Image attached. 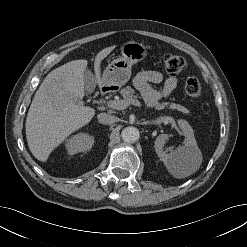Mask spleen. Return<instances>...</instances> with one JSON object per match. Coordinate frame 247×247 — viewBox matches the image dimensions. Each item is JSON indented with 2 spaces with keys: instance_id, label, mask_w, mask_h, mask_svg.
I'll use <instances>...</instances> for the list:
<instances>
[{
  "instance_id": "obj_1",
  "label": "spleen",
  "mask_w": 247,
  "mask_h": 247,
  "mask_svg": "<svg viewBox=\"0 0 247 247\" xmlns=\"http://www.w3.org/2000/svg\"><path fill=\"white\" fill-rule=\"evenodd\" d=\"M179 162H180V165H181V161H179ZM173 168H175V169H173ZM169 170H170L171 174H173L175 177H178V178L186 177V176L192 174L193 172H195V170L193 169V170L190 171L188 174L182 175V174H180V173L178 172V170L176 171V167H175V166L172 167V166H170V165H169Z\"/></svg>"
}]
</instances>
